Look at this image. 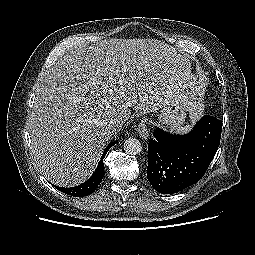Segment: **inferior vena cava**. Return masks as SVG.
<instances>
[{"instance_id":"602c4592","label":"inferior vena cava","mask_w":255,"mask_h":255,"mask_svg":"<svg viewBox=\"0 0 255 255\" xmlns=\"http://www.w3.org/2000/svg\"><path fill=\"white\" fill-rule=\"evenodd\" d=\"M120 123L119 119L118 118H114L111 120L110 122V128L112 129V131H115L116 130V125H118Z\"/></svg>"}]
</instances>
